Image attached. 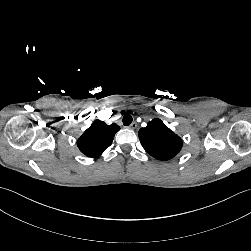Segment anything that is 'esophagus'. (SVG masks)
I'll list each match as a JSON object with an SVG mask.
<instances>
[{
  "instance_id": "34e87169",
  "label": "esophagus",
  "mask_w": 251,
  "mask_h": 251,
  "mask_svg": "<svg viewBox=\"0 0 251 251\" xmlns=\"http://www.w3.org/2000/svg\"><path fill=\"white\" fill-rule=\"evenodd\" d=\"M137 127V123L133 122L131 125L128 126V128L134 130Z\"/></svg>"
}]
</instances>
